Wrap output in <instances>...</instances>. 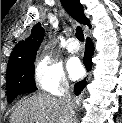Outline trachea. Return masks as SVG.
I'll use <instances>...</instances> for the list:
<instances>
[{"mask_svg":"<svg viewBox=\"0 0 122 123\" xmlns=\"http://www.w3.org/2000/svg\"><path fill=\"white\" fill-rule=\"evenodd\" d=\"M76 38L81 42L84 41V34L81 27L76 28Z\"/></svg>","mask_w":122,"mask_h":123,"instance_id":"1","label":"trachea"}]
</instances>
